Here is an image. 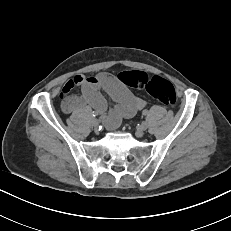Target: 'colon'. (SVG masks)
<instances>
[{"label": "colon", "instance_id": "5ec220e1", "mask_svg": "<svg viewBox=\"0 0 231 231\" xmlns=\"http://www.w3.org/2000/svg\"><path fill=\"white\" fill-rule=\"evenodd\" d=\"M118 79L128 87L145 89L153 98L166 106H174L177 96L174 86L166 79L149 77L141 71H125L118 75Z\"/></svg>", "mask_w": 231, "mask_h": 231}]
</instances>
